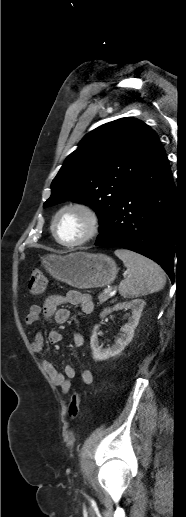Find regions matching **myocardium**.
I'll return each mask as SVG.
<instances>
[{
    "label": "myocardium",
    "mask_w": 186,
    "mask_h": 517,
    "mask_svg": "<svg viewBox=\"0 0 186 517\" xmlns=\"http://www.w3.org/2000/svg\"><path fill=\"white\" fill-rule=\"evenodd\" d=\"M66 211H78L82 213L88 223V227L86 232L76 241L73 242H65L62 241L56 232V224L58 221V218ZM100 229V218L96 210L91 207L90 205L84 203V202H71L64 206H62L53 216L52 222H51V232L56 240L57 243L64 247L68 248H74L81 246L85 244L86 242L90 241L92 238H94L98 231Z\"/></svg>",
    "instance_id": "obj_1"
}]
</instances>
